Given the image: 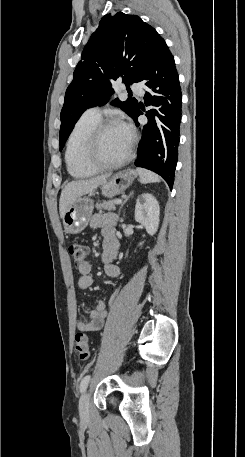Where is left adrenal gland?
Masks as SVG:
<instances>
[{
  "label": "left adrenal gland",
  "instance_id": "a2214340",
  "mask_svg": "<svg viewBox=\"0 0 245 457\" xmlns=\"http://www.w3.org/2000/svg\"><path fill=\"white\" fill-rule=\"evenodd\" d=\"M132 194H134L133 190H132V192H129L128 196H126L125 200H123L120 208H122L123 204H125L126 200H128V198H130V196H132ZM120 208L118 210V214H120Z\"/></svg>",
  "mask_w": 245,
  "mask_h": 457
}]
</instances>
